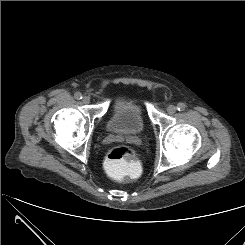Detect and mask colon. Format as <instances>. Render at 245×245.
Returning <instances> with one entry per match:
<instances>
[{
    "label": "colon",
    "mask_w": 245,
    "mask_h": 245,
    "mask_svg": "<svg viewBox=\"0 0 245 245\" xmlns=\"http://www.w3.org/2000/svg\"><path fill=\"white\" fill-rule=\"evenodd\" d=\"M105 166L111 176L135 175L137 172L136 152L131 147L117 145L105 156Z\"/></svg>",
    "instance_id": "1"
}]
</instances>
